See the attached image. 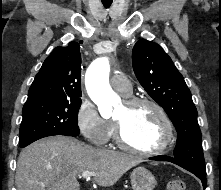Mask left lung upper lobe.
I'll return each mask as SVG.
<instances>
[{"label": "left lung upper lobe", "instance_id": "5c2ea615", "mask_svg": "<svg viewBox=\"0 0 221 190\" xmlns=\"http://www.w3.org/2000/svg\"><path fill=\"white\" fill-rule=\"evenodd\" d=\"M132 63L142 87L166 111L177 130L174 157L205 169L197 110L171 58L157 43L139 40L133 47Z\"/></svg>", "mask_w": 221, "mask_h": 190}]
</instances>
